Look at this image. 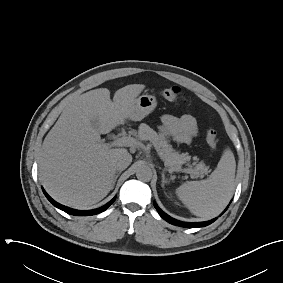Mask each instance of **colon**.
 <instances>
[{"label": "colon", "mask_w": 283, "mask_h": 283, "mask_svg": "<svg viewBox=\"0 0 283 283\" xmlns=\"http://www.w3.org/2000/svg\"><path fill=\"white\" fill-rule=\"evenodd\" d=\"M181 94L182 92L180 88L178 87L166 88V89L161 90L160 92V95L166 100L178 99L179 97H181ZM205 138L210 148L216 149L217 144H218L217 132L212 129H209L206 131Z\"/></svg>", "instance_id": "obj_1"}]
</instances>
